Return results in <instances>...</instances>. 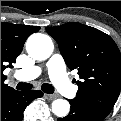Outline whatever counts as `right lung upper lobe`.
Masks as SVG:
<instances>
[{
	"mask_svg": "<svg viewBox=\"0 0 121 121\" xmlns=\"http://www.w3.org/2000/svg\"><path fill=\"white\" fill-rule=\"evenodd\" d=\"M39 29V26L1 23V95L14 90L4 84L6 76L3 71L7 67H12V63L16 62V58L21 53L27 37Z\"/></svg>",
	"mask_w": 121,
	"mask_h": 121,
	"instance_id": "obj_1",
	"label": "right lung upper lobe"
}]
</instances>
